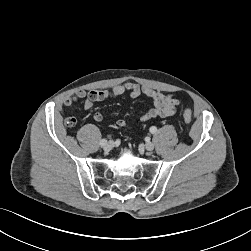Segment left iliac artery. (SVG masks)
Returning a JSON list of instances; mask_svg holds the SVG:
<instances>
[{
  "mask_svg": "<svg viewBox=\"0 0 251 251\" xmlns=\"http://www.w3.org/2000/svg\"><path fill=\"white\" fill-rule=\"evenodd\" d=\"M149 131H150L152 134H155V133L157 132V127L152 126V127H150Z\"/></svg>",
  "mask_w": 251,
  "mask_h": 251,
  "instance_id": "1",
  "label": "left iliac artery"
}]
</instances>
